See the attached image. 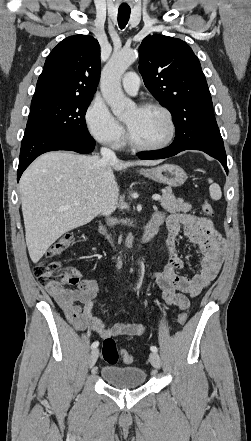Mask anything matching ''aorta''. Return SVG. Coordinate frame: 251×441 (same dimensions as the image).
I'll return each mask as SVG.
<instances>
[{
    "label": "aorta",
    "mask_w": 251,
    "mask_h": 441,
    "mask_svg": "<svg viewBox=\"0 0 251 441\" xmlns=\"http://www.w3.org/2000/svg\"><path fill=\"white\" fill-rule=\"evenodd\" d=\"M137 57V52L131 49L113 53L102 71L100 86L102 95L113 114L119 118L128 114L134 107V102L123 94L121 77Z\"/></svg>",
    "instance_id": "1"
}]
</instances>
